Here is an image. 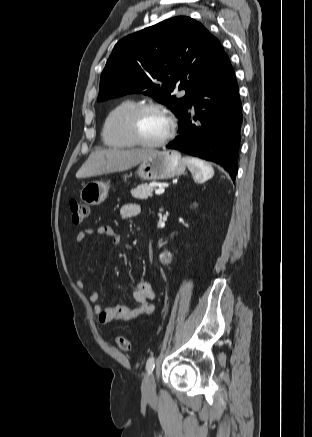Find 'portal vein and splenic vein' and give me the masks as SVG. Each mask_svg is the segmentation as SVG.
Instances as JSON below:
<instances>
[{"label":"portal vein and splenic vein","mask_w":312,"mask_h":437,"mask_svg":"<svg viewBox=\"0 0 312 437\" xmlns=\"http://www.w3.org/2000/svg\"><path fill=\"white\" fill-rule=\"evenodd\" d=\"M164 191H165L164 188H159V189L155 190V194L160 195V194H163Z\"/></svg>","instance_id":"portal-vein-and-splenic-vein-1"}]
</instances>
